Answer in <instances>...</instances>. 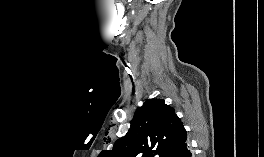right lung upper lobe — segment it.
I'll list each match as a JSON object with an SVG mask.
<instances>
[{
  "instance_id": "right-lung-upper-lobe-1",
  "label": "right lung upper lobe",
  "mask_w": 264,
  "mask_h": 157,
  "mask_svg": "<svg viewBox=\"0 0 264 157\" xmlns=\"http://www.w3.org/2000/svg\"><path fill=\"white\" fill-rule=\"evenodd\" d=\"M186 140L187 132L174 108L163 99H148L135 113L127 134L99 157H168Z\"/></svg>"
}]
</instances>
